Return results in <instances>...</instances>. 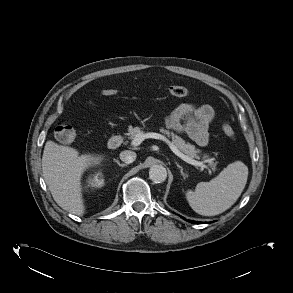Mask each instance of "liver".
<instances>
[{
	"label": "liver",
	"mask_w": 293,
	"mask_h": 293,
	"mask_svg": "<svg viewBox=\"0 0 293 293\" xmlns=\"http://www.w3.org/2000/svg\"><path fill=\"white\" fill-rule=\"evenodd\" d=\"M102 156L79 155L69 146L48 140L42 156L44 180L56 203L64 210L81 216L85 212L82 194V176L86 169L99 164Z\"/></svg>",
	"instance_id": "1"
}]
</instances>
